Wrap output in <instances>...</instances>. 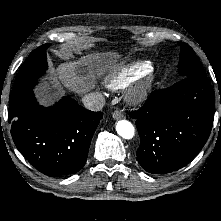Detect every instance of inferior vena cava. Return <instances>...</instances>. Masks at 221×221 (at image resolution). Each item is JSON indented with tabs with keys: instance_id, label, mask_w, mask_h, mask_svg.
I'll return each instance as SVG.
<instances>
[{
	"instance_id": "inferior-vena-cava-1",
	"label": "inferior vena cava",
	"mask_w": 221,
	"mask_h": 221,
	"mask_svg": "<svg viewBox=\"0 0 221 221\" xmlns=\"http://www.w3.org/2000/svg\"><path fill=\"white\" fill-rule=\"evenodd\" d=\"M85 108L92 111H100L105 106V98L98 92L86 94L82 98Z\"/></svg>"
}]
</instances>
